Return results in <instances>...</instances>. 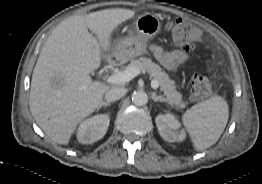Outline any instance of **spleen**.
Returning a JSON list of instances; mask_svg holds the SVG:
<instances>
[{"label":"spleen","mask_w":262,"mask_h":184,"mask_svg":"<svg viewBox=\"0 0 262 184\" xmlns=\"http://www.w3.org/2000/svg\"><path fill=\"white\" fill-rule=\"evenodd\" d=\"M229 117L227 102L220 96L202 101L182 116L194 149L204 150L215 144L223 133Z\"/></svg>","instance_id":"3e777b00"}]
</instances>
